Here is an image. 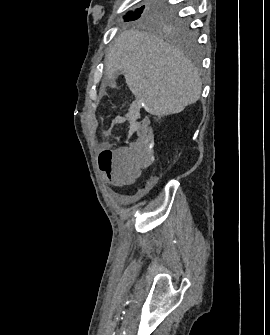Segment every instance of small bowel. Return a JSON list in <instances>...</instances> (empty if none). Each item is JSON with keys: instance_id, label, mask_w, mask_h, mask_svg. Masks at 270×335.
<instances>
[{"instance_id": "obj_1", "label": "small bowel", "mask_w": 270, "mask_h": 335, "mask_svg": "<svg viewBox=\"0 0 270 335\" xmlns=\"http://www.w3.org/2000/svg\"><path fill=\"white\" fill-rule=\"evenodd\" d=\"M128 134H137L136 145L121 147V149H105L104 154H94L95 165L98 173H103V178H131L130 182L150 165L148 156H158V149H151L155 145V138L148 118L141 121H130L127 128Z\"/></svg>"}]
</instances>
